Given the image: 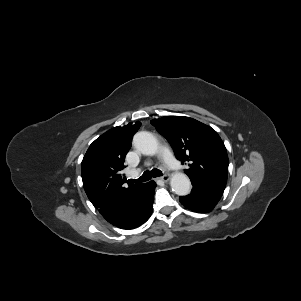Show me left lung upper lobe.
<instances>
[{
  "mask_svg": "<svg viewBox=\"0 0 301 301\" xmlns=\"http://www.w3.org/2000/svg\"><path fill=\"white\" fill-rule=\"evenodd\" d=\"M151 124L171 144L174 153L189 168L185 173L191 182L224 191L228 174V156L217 132L195 119L166 116Z\"/></svg>",
  "mask_w": 301,
  "mask_h": 301,
  "instance_id": "obj_1",
  "label": "left lung upper lobe"
}]
</instances>
